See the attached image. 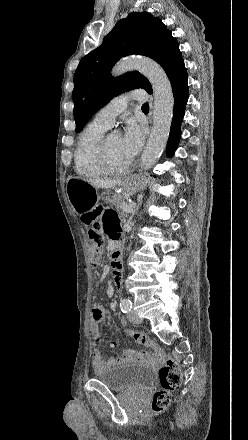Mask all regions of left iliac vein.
<instances>
[{"label": "left iliac vein", "mask_w": 248, "mask_h": 440, "mask_svg": "<svg viewBox=\"0 0 248 440\" xmlns=\"http://www.w3.org/2000/svg\"><path fill=\"white\" fill-rule=\"evenodd\" d=\"M128 319L133 324H140L142 322V319L133 311L129 312Z\"/></svg>", "instance_id": "left-iliac-vein-1"}]
</instances>
